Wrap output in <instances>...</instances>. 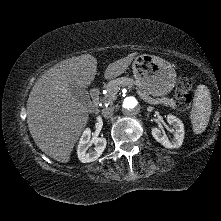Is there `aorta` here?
I'll use <instances>...</instances> for the list:
<instances>
[{
	"mask_svg": "<svg viewBox=\"0 0 221 221\" xmlns=\"http://www.w3.org/2000/svg\"><path fill=\"white\" fill-rule=\"evenodd\" d=\"M122 110L126 115H135L140 110L139 100L134 96H128L123 100Z\"/></svg>",
	"mask_w": 221,
	"mask_h": 221,
	"instance_id": "1",
	"label": "aorta"
}]
</instances>
